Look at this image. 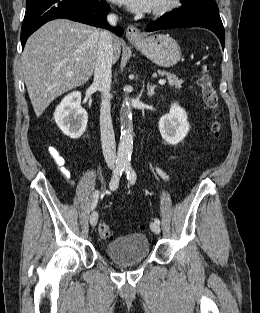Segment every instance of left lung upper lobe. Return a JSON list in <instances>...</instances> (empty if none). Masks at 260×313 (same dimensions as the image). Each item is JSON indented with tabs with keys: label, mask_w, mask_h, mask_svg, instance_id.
<instances>
[{
	"label": "left lung upper lobe",
	"mask_w": 260,
	"mask_h": 313,
	"mask_svg": "<svg viewBox=\"0 0 260 313\" xmlns=\"http://www.w3.org/2000/svg\"><path fill=\"white\" fill-rule=\"evenodd\" d=\"M177 11L210 14L219 17L218 6L214 0H182V7Z\"/></svg>",
	"instance_id": "1"
}]
</instances>
